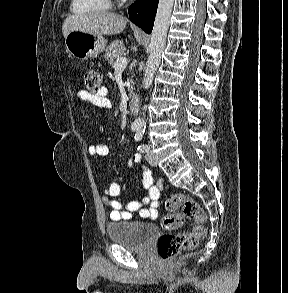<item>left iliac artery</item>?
Wrapping results in <instances>:
<instances>
[{
    "instance_id": "left-iliac-artery-1",
    "label": "left iliac artery",
    "mask_w": 288,
    "mask_h": 293,
    "mask_svg": "<svg viewBox=\"0 0 288 293\" xmlns=\"http://www.w3.org/2000/svg\"><path fill=\"white\" fill-rule=\"evenodd\" d=\"M143 135H144V130H138L135 134V137H134L135 141L136 142L140 141L142 139ZM138 150L140 152H147L149 150V146L146 144H141L138 146Z\"/></svg>"
}]
</instances>
